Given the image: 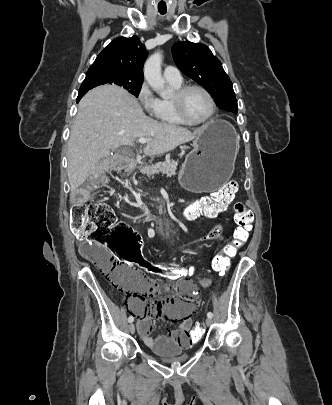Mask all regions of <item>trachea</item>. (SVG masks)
<instances>
[{
	"mask_svg": "<svg viewBox=\"0 0 332 405\" xmlns=\"http://www.w3.org/2000/svg\"><path fill=\"white\" fill-rule=\"evenodd\" d=\"M159 12H160L161 14H165V13H166V11H162V10H159Z\"/></svg>",
	"mask_w": 332,
	"mask_h": 405,
	"instance_id": "obj_1",
	"label": "trachea"
}]
</instances>
